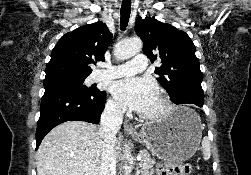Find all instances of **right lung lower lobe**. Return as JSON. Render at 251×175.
<instances>
[{
  "instance_id": "right-lung-lower-lobe-1",
  "label": "right lung lower lobe",
  "mask_w": 251,
  "mask_h": 175,
  "mask_svg": "<svg viewBox=\"0 0 251 175\" xmlns=\"http://www.w3.org/2000/svg\"><path fill=\"white\" fill-rule=\"evenodd\" d=\"M105 99L106 93L96 88L85 92L64 84L45 86L36 130V150L44 136L63 122L78 120L98 124Z\"/></svg>"
}]
</instances>
